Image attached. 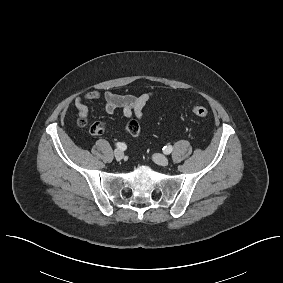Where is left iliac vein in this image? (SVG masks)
Returning <instances> with one entry per match:
<instances>
[{
  "label": "left iliac vein",
  "instance_id": "1",
  "mask_svg": "<svg viewBox=\"0 0 283 283\" xmlns=\"http://www.w3.org/2000/svg\"><path fill=\"white\" fill-rule=\"evenodd\" d=\"M153 160L156 164L161 165V166H166L169 162L167 156L162 155V154H155L153 156Z\"/></svg>",
  "mask_w": 283,
  "mask_h": 283
}]
</instances>
